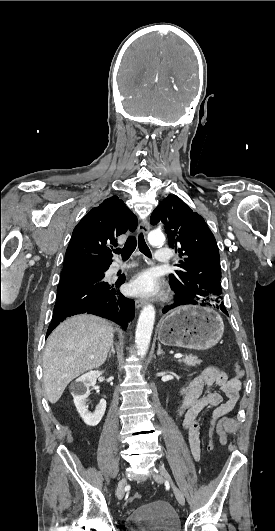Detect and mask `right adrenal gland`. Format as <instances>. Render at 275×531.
I'll return each instance as SVG.
<instances>
[{"label":"right adrenal gland","instance_id":"1","mask_svg":"<svg viewBox=\"0 0 275 531\" xmlns=\"http://www.w3.org/2000/svg\"><path fill=\"white\" fill-rule=\"evenodd\" d=\"M112 353H113V355H115V353H116V351L114 349V343H112V345H111V351H109V353H108V359H110Z\"/></svg>","mask_w":275,"mask_h":531}]
</instances>
